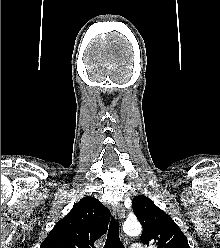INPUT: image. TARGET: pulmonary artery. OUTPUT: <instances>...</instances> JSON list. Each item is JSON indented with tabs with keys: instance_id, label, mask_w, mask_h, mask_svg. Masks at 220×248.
I'll return each instance as SVG.
<instances>
[{
	"instance_id": "1",
	"label": "pulmonary artery",
	"mask_w": 220,
	"mask_h": 248,
	"mask_svg": "<svg viewBox=\"0 0 220 248\" xmlns=\"http://www.w3.org/2000/svg\"><path fill=\"white\" fill-rule=\"evenodd\" d=\"M130 248H144L141 244L135 243L132 244Z\"/></svg>"
}]
</instances>
